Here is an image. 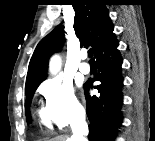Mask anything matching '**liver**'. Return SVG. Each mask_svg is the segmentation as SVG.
I'll list each match as a JSON object with an SVG mask.
<instances>
[{"label": "liver", "mask_w": 155, "mask_h": 141, "mask_svg": "<svg viewBox=\"0 0 155 141\" xmlns=\"http://www.w3.org/2000/svg\"><path fill=\"white\" fill-rule=\"evenodd\" d=\"M50 141H70V140L66 136H58V137L50 139Z\"/></svg>", "instance_id": "liver-1"}]
</instances>
